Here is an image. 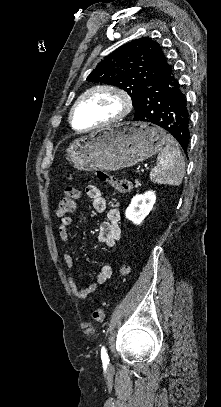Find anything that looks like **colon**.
<instances>
[{"label":"colon","instance_id":"1","mask_svg":"<svg viewBox=\"0 0 221 407\" xmlns=\"http://www.w3.org/2000/svg\"><path fill=\"white\" fill-rule=\"evenodd\" d=\"M96 176L100 181L111 185L121 193H127L133 188L132 182L130 180L118 179L103 170H96ZM79 197H80L79 189L72 185L68 186L66 188L65 195L60 199L55 209L56 216L67 218L68 215L73 212L76 201ZM128 271H129L128 266L123 265L120 268L121 276H125L128 273ZM105 313H106L105 302L103 300H100V305L92 312L91 318L94 322L101 323L105 319Z\"/></svg>","mask_w":221,"mask_h":407}]
</instances>
